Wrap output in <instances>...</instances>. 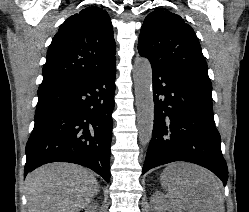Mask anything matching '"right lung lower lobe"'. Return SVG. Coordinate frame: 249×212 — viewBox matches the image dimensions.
<instances>
[{
	"mask_svg": "<svg viewBox=\"0 0 249 212\" xmlns=\"http://www.w3.org/2000/svg\"><path fill=\"white\" fill-rule=\"evenodd\" d=\"M116 67L38 93L24 176L50 162L88 167L110 182Z\"/></svg>",
	"mask_w": 249,
	"mask_h": 212,
	"instance_id": "98d812e1",
	"label": "right lung lower lobe"
}]
</instances>
